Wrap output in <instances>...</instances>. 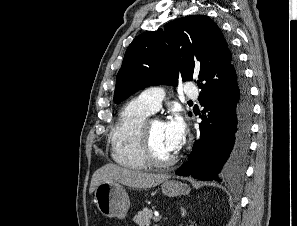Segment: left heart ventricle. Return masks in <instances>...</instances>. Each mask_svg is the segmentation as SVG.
Returning <instances> with one entry per match:
<instances>
[{"instance_id": "1", "label": "left heart ventricle", "mask_w": 297, "mask_h": 226, "mask_svg": "<svg viewBox=\"0 0 297 226\" xmlns=\"http://www.w3.org/2000/svg\"><path fill=\"white\" fill-rule=\"evenodd\" d=\"M150 139L153 151L159 158L166 159L175 153L167 144L164 123L157 120L151 123Z\"/></svg>"}]
</instances>
